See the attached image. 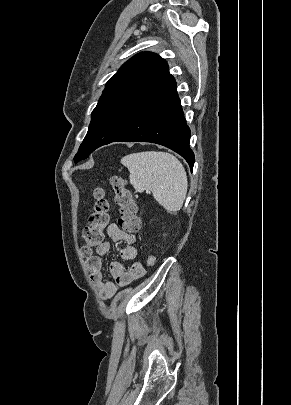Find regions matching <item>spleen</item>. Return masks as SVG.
I'll return each instance as SVG.
<instances>
[{
  "label": "spleen",
  "instance_id": "1",
  "mask_svg": "<svg viewBox=\"0 0 291 405\" xmlns=\"http://www.w3.org/2000/svg\"><path fill=\"white\" fill-rule=\"evenodd\" d=\"M121 163L128 168L130 183L137 192L150 190L167 211L182 208L188 181L183 165L175 156L161 151L138 152L123 157Z\"/></svg>",
  "mask_w": 291,
  "mask_h": 405
}]
</instances>
